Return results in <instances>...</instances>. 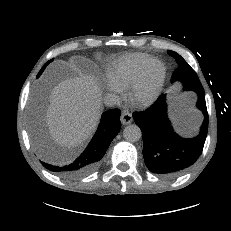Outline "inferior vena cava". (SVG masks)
Wrapping results in <instances>:
<instances>
[{
    "mask_svg": "<svg viewBox=\"0 0 231 231\" xmlns=\"http://www.w3.org/2000/svg\"><path fill=\"white\" fill-rule=\"evenodd\" d=\"M104 103L107 106H114V105H119L120 104V98L119 96L115 94H106L104 97Z\"/></svg>",
    "mask_w": 231,
    "mask_h": 231,
    "instance_id": "602c4592",
    "label": "inferior vena cava"
}]
</instances>
